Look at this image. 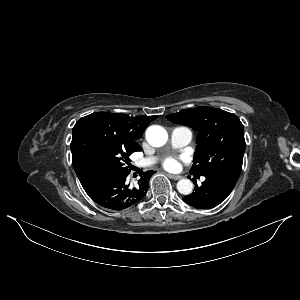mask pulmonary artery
Here are the masks:
<instances>
[{"label":"pulmonary artery","instance_id":"obj_1","mask_svg":"<svg viewBox=\"0 0 300 300\" xmlns=\"http://www.w3.org/2000/svg\"><path fill=\"white\" fill-rule=\"evenodd\" d=\"M193 134L190 128L185 126H178L172 129L170 133V142L174 147H183L189 144L192 140ZM155 162V158H145L135 163L138 167H148ZM202 180H205L203 177Z\"/></svg>","mask_w":300,"mask_h":300}]
</instances>
